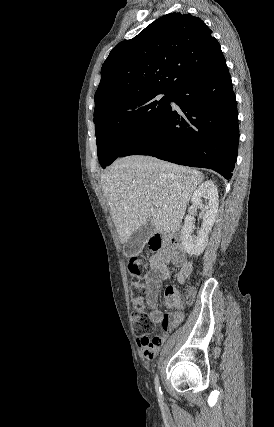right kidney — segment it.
<instances>
[{
  "instance_id": "1",
  "label": "right kidney",
  "mask_w": 274,
  "mask_h": 427,
  "mask_svg": "<svg viewBox=\"0 0 274 427\" xmlns=\"http://www.w3.org/2000/svg\"><path fill=\"white\" fill-rule=\"evenodd\" d=\"M201 198L207 200V206H203ZM191 202L195 208H200L202 212V229H199L198 235H192L195 219L193 214L186 215L181 233V241L189 255H200L207 245L208 233L211 231L218 214L219 196L214 182H203L201 186H198L192 196Z\"/></svg>"
}]
</instances>
